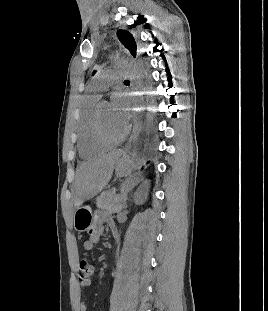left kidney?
I'll return each mask as SVG.
<instances>
[{"label":"left kidney","instance_id":"1","mask_svg":"<svg viewBox=\"0 0 268 311\" xmlns=\"http://www.w3.org/2000/svg\"><path fill=\"white\" fill-rule=\"evenodd\" d=\"M147 183V181H145L144 182V184H146ZM148 184H147V189H146V191L144 192V197H145V199L147 198V192H148ZM141 203H143V202H141Z\"/></svg>","mask_w":268,"mask_h":311}]
</instances>
